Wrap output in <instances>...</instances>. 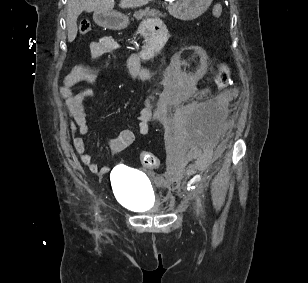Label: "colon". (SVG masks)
<instances>
[{
    "mask_svg": "<svg viewBox=\"0 0 308 283\" xmlns=\"http://www.w3.org/2000/svg\"><path fill=\"white\" fill-rule=\"evenodd\" d=\"M222 14V5L216 4L213 8V16L219 17ZM91 30V24L87 20H82L79 24L81 34H87ZM230 67L227 64H222L215 76V85L218 89H223L230 81ZM142 165L147 169H154L159 166V159L150 152H143L140 156Z\"/></svg>",
    "mask_w": 308,
    "mask_h": 283,
    "instance_id": "1",
    "label": "colon"
}]
</instances>
